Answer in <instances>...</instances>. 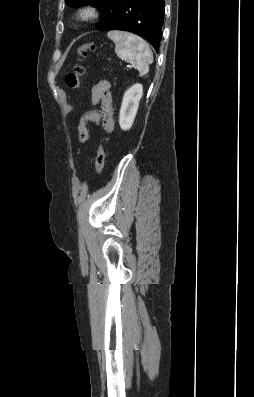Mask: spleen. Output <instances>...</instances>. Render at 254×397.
I'll use <instances>...</instances> for the list:
<instances>
[{
  "mask_svg": "<svg viewBox=\"0 0 254 397\" xmlns=\"http://www.w3.org/2000/svg\"><path fill=\"white\" fill-rule=\"evenodd\" d=\"M108 38L115 43V52L121 59H126L143 77L153 62V53L141 37L125 31H109Z\"/></svg>",
  "mask_w": 254,
  "mask_h": 397,
  "instance_id": "spleen-1",
  "label": "spleen"
}]
</instances>
